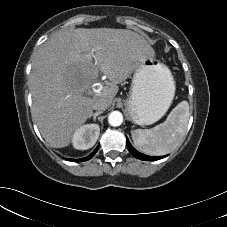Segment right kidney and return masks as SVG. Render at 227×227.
Wrapping results in <instances>:
<instances>
[{"mask_svg": "<svg viewBox=\"0 0 227 227\" xmlns=\"http://www.w3.org/2000/svg\"><path fill=\"white\" fill-rule=\"evenodd\" d=\"M100 133V128L97 124H87L78 128L72 138V143L75 149L87 150L94 146Z\"/></svg>", "mask_w": 227, "mask_h": 227, "instance_id": "obj_1", "label": "right kidney"}]
</instances>
